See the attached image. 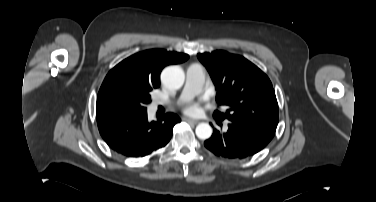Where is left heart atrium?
Wrapping results in <instances>:
<instances>
[{
    "label": "left heart atrium",
    "instance_id": "obj_1",
    "mask_svg": "<svg viewBox=\"0 0 376 202\" xmlns=\"http://www.w3.org/2000/svg\"><path fill=\"white\" fill-rule=\"evenodd\" d=\"M185 112L188 114H197L199 112V105L197 103H189L185 107Z\"/></svg>",
    "mask_w": 376,
    "mask_h": 202
}]
</instances>
